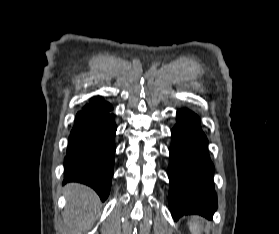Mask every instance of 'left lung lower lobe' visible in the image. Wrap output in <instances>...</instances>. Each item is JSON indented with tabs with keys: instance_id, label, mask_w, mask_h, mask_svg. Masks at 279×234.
<instances>
[{
	"instance_id": "1",
	"label": "left lung lower lobe",
	"mask_w": 279,
	"mask_h": 234,
	"mask_svg": "<svg viewBox=\"0 0 279 234\" xmlns=\"http://www.w3.org/2000/svg\"><path fill=\"white\" fill-rule=\"evenodd\" d=\"M177 117L169 149V207L174 220L186 214L210 219L217 208V196L207 138L196 114L183 109L177 112Z\"/></svg>"
}]
</instances>
